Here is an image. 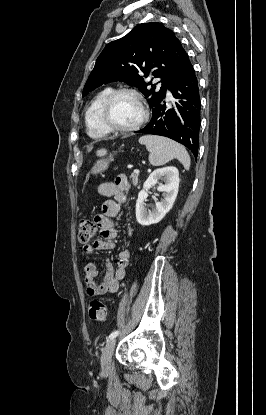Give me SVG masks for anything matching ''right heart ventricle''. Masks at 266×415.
<instances>
[{
  "label": "right heart ventricle",
  "instance_id": "obj_1",
  "mask_svg": "<svg viewBox=\"0 0 266 415\" xmlns=\"http://www.w3.org/2000/svg\"><path fill=\"white\" fill-rule=\"evenodd\" d=\"M112 91L113 89L110 87L99 91L91 100L86 109L85 123L88 135L91 138L102 139L111 133V131L104 125L102 121L101 112L105 100Z\"/></svg>",
  "mask_w": 266,
  "mask_h": 415
}]
</instances>
